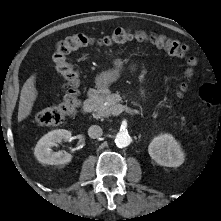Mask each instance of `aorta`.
I'll return each mask as SVG.
<instances>
[{"label": "aorta", "mask_w": 221, "mask_h": 221, "mask_svg": "<svg viewBox=\"0 0 221 221\" xmlns=\"http://www.w3.org/2000/svg\"><path fill=\"white\" fill-rule=\"evenodd\" d=\"M115 143L118 147H126L130 143V136L126 132H119L115 137Z\"/></svg>", "instance_id": "762f6f07"}]
</instances>
